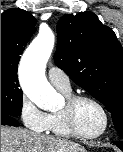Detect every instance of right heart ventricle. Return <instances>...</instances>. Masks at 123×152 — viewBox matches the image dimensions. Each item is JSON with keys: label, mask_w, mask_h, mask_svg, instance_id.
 Returning <instances> with one entry per match:
<instances>
[{"label": "right heart ventricle", "mask_w": 123, "mask_h": 152, "mask_svg": "<svg viewBox=\"0 0 123 152\" xmlns=\"http://www.w3.org/2000/svg\"><path fill=\"white\" fill-rule=\"evenodd\" d=\"M60 91L66 97L71 95V90L65 91L60 89ZM48 115H49V125L47 129L48 133L60 137H67V138L73 137V134L69 131V129L65 124L61 110L52 112Z\"/></svg>", "instance_id": "e07e8e85"}]
</instances>
